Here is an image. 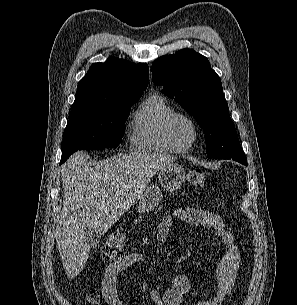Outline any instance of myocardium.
Wrapping results in <instances>:
<instances>
[{"label": "myocardium", "instance_id": "myocardium-1", "mask_svg": "<svg viewBox=\"0 0 297 305\" xmlns=\"http://www.w3.org/2000/svg\"><path fill=\"white\" fill-rule=\"evenodd\" d=\"M180 118L186 120L190 124V126L192 128V132H193L191 142L185 147L178 145L172 135V125L175 120L180 119ZM163 131H164V136H165L167 142L176 152H179V153L189 152L195 146V143L197 142V139L199 136V129H198V125H197L196 121L188 114L181 113V112H174L165 120Z\"/></svg>", "mask_w": 297, "mask_h": 305}]
</instances>
